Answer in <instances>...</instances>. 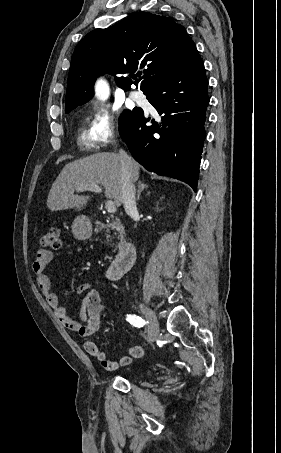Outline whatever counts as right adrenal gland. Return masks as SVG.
<instances>
[{"instance_id": "obj_1", "label": "right adrenal gland", "mask_w": 281, "mask_h": 453, "mask_svg": "<svg viewBox=\"0 0 281 453\" xmlns=\"http://www.w3.org/2000/svg\"><path fill=\"white\" fill-rule=\"evenodd\" d=\"M138 190H137V198L136 200H140V194L144 188H148V184H145V182H142V180H138Z\"/></svg>"}]
</instances>
